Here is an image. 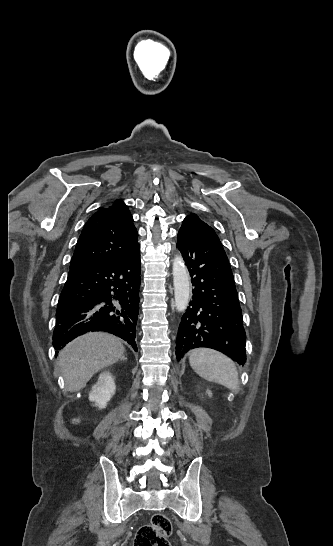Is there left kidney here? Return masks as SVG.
Instances as JSON below:
<instances>
[{
    "instance_id": "5707ae66",
    "label": "left kidney",
    "mask_w": 333,
    "mask_h": 546,
    "mask_svg": "<svg viewBox=\"0 0 333 546\" xmlns=\"http://www.w3.org/2000/svg\"><path fill=\"white\" fill-rule=\"evenodd\" d=\"M207 393H208V395H211V392H207Z\"/></svg>"
}]
</instances>
